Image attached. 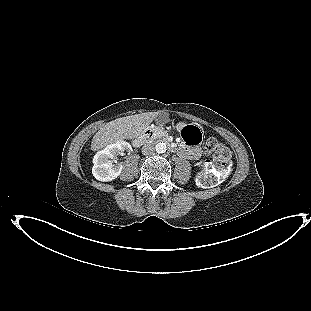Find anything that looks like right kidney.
<instances>
[{
  "label": "right kidney",
  "mask_w": 311,
  "mask_h": 311,
  "mask_svg": "<svg viewBox=\"0 0 311 311\" xmlns=\"http://www.w3.org/2000/svg\"><path fill=\"white\" fill-rule=\"evenodd\" d=\"M124 151H132L131 145L123 140L108 145L105 149L97 152L93 158V176L103 182L112 181L122 172V165L113 164V158L123 154Z\"/></svg>",
  "instance_id": "ca27d5eb"
}]
</instances>
